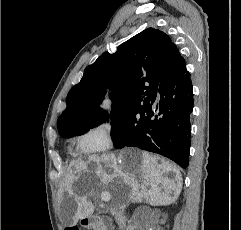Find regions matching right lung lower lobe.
Wrapping results in <instances>:
<instances>
[{"instance_id": "right-lung-lower-lobe-1", "label": "right lung lower lobe", "mask_w": 241, "mask_h": 230, "mask_svg": "<svg viewBox=\"0 0 241 230\" xmlns=\"http://www.w3.org/2000/svg\"><path fill=\"white\" fill-rule=\"evenodd\" d=\"M193 90L184 59L161 80L148 103L147 123L129 134L125 142L114 145L138 147L161 154L182 167L188 166L190 151V118Z\"/></svg>"}]
</instances>
